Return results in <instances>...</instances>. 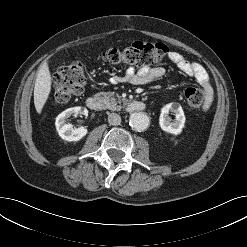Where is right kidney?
Instances as JSON below:
<instances>
[{
    "label": "right kidney",
    "mask_w": 247,
    "mask_h": 247,
    "mask_svg": "<svg viewBox=\"0 0 247 247\" xmlns=\"http://www.w3.org/2000/svg\"><path fill=\"white\" fill-rule=\"evenodd\" d=\"M88 115V110L82 107L68 108L56 117L55 126L59 136L66 141H78L87 134L85 127L73 128L72 124H67L66 120L72 114Z\"/></svg>",
    "instance_id": "obj_1"
}]
</instances>
